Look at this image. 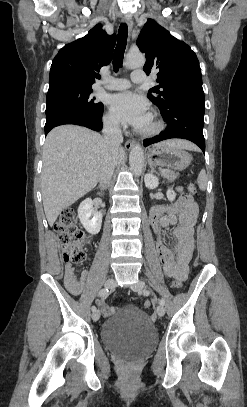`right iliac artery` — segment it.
Masks as SVG:
<instances>
[{
    "label": "right iliac artery",
    "mask_w": 247,
    "mask_h": 407,
    "mask_svg": "<svg viewBox=\"0 0 247 407\" xmlns=\"http://www.w3.org/2000/svg\"><path fill=\"white\" fill-rule=\"evenodd\" d=\"M99 295L101 296V297H107L108 295H109V289L108 288H103V289H101L100 291H99ZM91 310L94 312V311H96V307L95 306H92L91 307Z\"/></svg>",
    "instance_id": "1"
}]
</instances>
